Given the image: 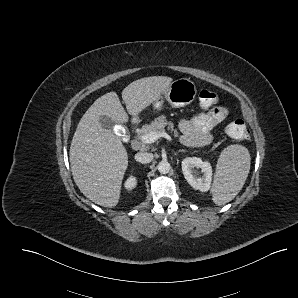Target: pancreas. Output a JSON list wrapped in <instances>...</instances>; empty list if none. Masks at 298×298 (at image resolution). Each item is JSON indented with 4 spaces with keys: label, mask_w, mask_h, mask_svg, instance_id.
<instances>
[{
    "label": "pancreas",
    "mask_w": 298,
    "mask_h": 298,
    "mask_svg": "<svg viewBox=\"0 0 298 298\" xmlns=\"http://www.w3.org/2000/svg\"><path fill=\"white\" fill-rule=\"evenodd\" d=\"M169 130L173 133L174 137L179 136V132L174 128V124L171 121H167L165 115H160L155 118L150 124L143 125L140 129H137V136L140 139L141 135H145L149 132H165V130Z\"/></svg>",
    "instance_id": "obj_1"
}]
</instances>
